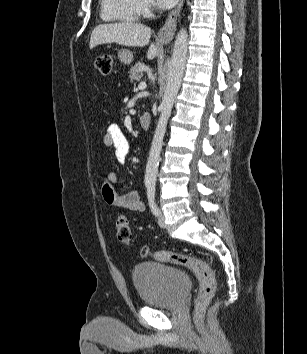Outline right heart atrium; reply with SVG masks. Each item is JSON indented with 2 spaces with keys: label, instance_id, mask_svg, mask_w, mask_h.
Wrapping results in <instances>:
<instances>
[{
  "label": "right heart atrium",
  "instance_id": "d8ad5b80",
  "mask_svg": "<svg viewBox=\"0 0 307 354\" xmlns=\"http://www.w3.org/2000/svg\"><path fill=\"white\" fill-rule=\"evenodd\" d=\"M136 2L142 15H147L151 11L152 5L150 0H136Z\"/></svg>",
  "mask_w": 307,
  "mask_h": 354
}]
</instances>
